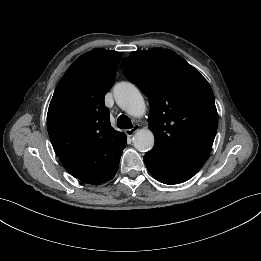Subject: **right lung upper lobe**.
I'll return each instance as SVG.
<instances>
[{
	"instance_id": "cb5924a9",
	"label": "right lung upper lobe",
	"mask_w": 261,
	"mask_h": 261,
	"mask_svg": "<svg viewBox=\"0 0 261 261\" xmlns=\"http://www.w3.org/2000/svg\"><path fill=\"white\" fill-rule=\"evenodd\" d=\"M121 57V52L105 49L81 55L49 105L47 128L55 153L72 176L88 184L108 181L126 146V135L111 127L104 104Z\"/></svg>"
}]
</instances>
